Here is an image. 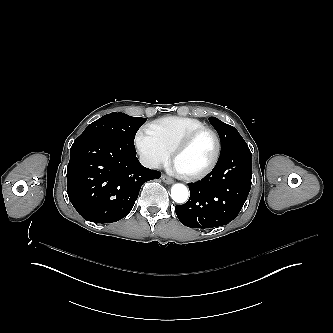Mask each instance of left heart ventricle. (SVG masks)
<instances>
[{
  "label": "left heart ventricle",
  "instance_id": "b2bd125f",
  "mask_svg": "<svg viewBox=\"0 0 333 333\" xmlns=\"http://www.w3.org/2000/svg\"><path fill=\"white\" fill-rule=\"evenodd\" d=\"M213 136L204 132L198 135L192 143L177 154L171 161L182 174H192L208 165L215 153Z\"/></svg>",
  "mask_w": 333,
  "mask_h": 333
}]
</instances>
